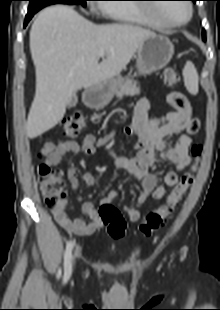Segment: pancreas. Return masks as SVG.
<instances>
[{
	"label": "pancreas",
	"instance_id": "obj_1",
	"mask_svg": "<svg viewBox=\"0 0 220 310\" xmlns=\"http://www.w3.org/2000/svg\"><path fill=\"white\" fill-rule=\"evenodd\" d=\"M140 93V89L137 86V82L132 79H127V81L121 84L120 89L116 91V95L121 99L124 95L134 96Z\"/></svg>",
	"mask_w": 220,
	"mask_h": 310
}]
</instances>
